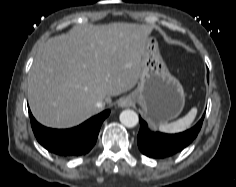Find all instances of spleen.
Segmentation results:
<instances>
[{
    "mask_svg": "<svg viewBox=\"0 0 236 187\" xmlns=\"http://www.w3.org/2000/svg\"><path fill=\"white\" fill-rule=\"evenodd\" d=\"M197 108H192L183 118L172 123L159 125L158 129L164 133H179L188 129L197 115Z\"/></svg>",
    "mask_w": 236,
    "mask_h": 187,
    "instance_id": "spleen-1",
    "label": "spleen"
}]
</instances>
